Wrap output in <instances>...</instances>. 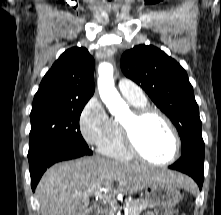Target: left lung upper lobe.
Masks as SVG:
<instances>
[{
	"label": "left lung upper lobe",
	"mask_w": 221,
	"mask_h": 215,
	"mask_svg": "<svg viewBox=\"0 0 221 215\" xmlns=\"http://www.w3.org/2000/svg\"><path fill=\"white\" fill-rule=\"evenodd\" d=\"M121 69L176 126L181 155L189 150L204 151L198 105L186 71L178 62L155 46L138 45L122 55Z\"/></svg>",
	"instance_id": "left-lung-upper-lobe-1"
}]
</instances>
